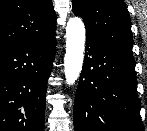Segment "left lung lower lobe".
Returning <instances> with one entry per match:
<instances>
[{
	"label": "left lung lower lobe",
	"instance_id": "left-lung-lower-lobe-1",
	"mask_svg": "<svg viewBox=\"0 0 147 131\" xmlns=\"http://www.w3.org/2000/svg\"><path fill=\"white\" fill-rule=\"evenodd\" d=\"M86 41L74 103L75 131H144L133 56L96 39Z\"/></svg>",
	"mask_w": 147,
	"mask_h": 131
}]
</instances>
